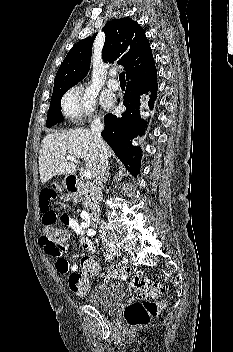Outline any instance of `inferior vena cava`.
<instances>
[{"instance_id":"inferior-vena-cava-1","label":"inferior vena cava","mask_w":233,"mask_h":352,"mask_svg":"<svg viewBox=\"0 0 233 352\" xmlns=\"http://www.w3.org/2000/svg\"><path fill=\"white\" fill-rule=\"evenodd\" d=\"M103 129H104V125L101 122L100 117L95 116L93 121L91 122V134L94 138V141L97 144L98 152H99V157H98V162H97V167L95 172V179H94L95 195L97 200H99L102 196V186H103V181L105 177V172L108 166L107 149L101 136V132L103 131ZM95 222L100 226L99 233H100V238L102 239V242L106 246L112 244L113 236L106 231L104 227V221L97 218Z\"/></svg>"}]
</instances>
